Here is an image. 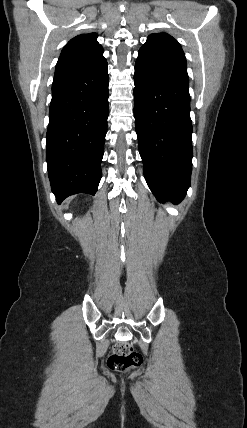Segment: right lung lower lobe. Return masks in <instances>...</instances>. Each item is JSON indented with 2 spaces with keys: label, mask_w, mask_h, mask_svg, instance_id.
Masks as SVG:
<instances>
[{
  "label": "right lung lower lobe",
  "mask_w": 247,
  "mask_h": 428,
  "mask_svg": "<svg viewBox=\"0 0 247 428\" xmlns=\"http://www.w3.org/2000/svg\"><path fill=\"white\" fill-rule=\"evenodd\" d=\"M107 61L54 75L46 160L58 203L77 193L95 195L108 118Z\"/></svg>",
  "instance_id": "right-lung-lower-lobe-1"
}]
</instances>
